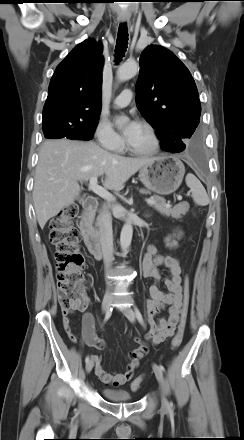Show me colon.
<instances>
[{"label":"colon","mask_w":244,"mask_h":440,"mask_svg":"<svg viewBox=\"0 0 244 440\" xmlns=\"http://www.w3.org/2000/svg\"><path fill=\"white\" fill-rule=\"evenodd\" d=\"M79 211L75 203L65 206L60 213L50 221L49 239L56 247L55 260L57 267V297L64 317H68L87 307V284L84 279L85 255L79 246L80 236L74 227V219ZM191 283L188 274L183 279V298L180 308V323L177 333L172 339L171 348H178L183 339L188 307L190 303ZM147 349L138 350L144 356ZM143 381V376L136 377L131 388L137 390ZM113 385H116L113 383Z\"/></svg>","instance_id":"5ec220e1"}]
</instances>
